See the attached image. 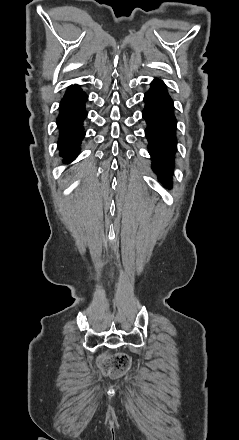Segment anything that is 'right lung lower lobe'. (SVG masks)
Returning <instances> with one entry per match:
<instances>
[{
    "mask_svg": "<svg viewBox=\"0 0 239 440\" xmlns=\"http://www.w3.org/2000/svg\"><path fill=\"white\" fill-rule=\"evenodd\" d=\"M88 96L78 85L70 86L59 106L57 127L59 130L58 149L64 163L73 161L80 151L85 131L82 123L87 116L85 102Z\"/></svg>",
    "mask_w": 239,
    "mask_h": 440,
    "instance_id": "98d812e1",
    "label": "right lung lower lobe"
}]
</instances>
